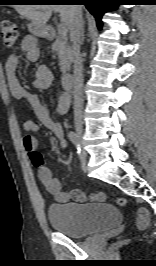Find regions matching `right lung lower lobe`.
I'll use <instances>...</instances> for the list:
<instances>
[{"mask_svg":"<svg viewBox=\"0 0 156 266\" xmlns=\"http://www.w3.org/2000/svg\"><path fill=\"white\" fill-rule=\"evenodd\" d=\"M58 2L52 3H65L64 1H73L85 5L86 8L94 15L99 28L102 27V15L118 6V0H56Z\"/></svg>","mask_w":156,"mask_h":266,"instance_id":"98d812e1","label":"right lung lower lobe"}]
</instances>
